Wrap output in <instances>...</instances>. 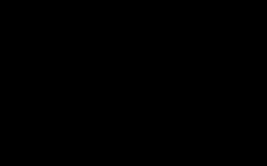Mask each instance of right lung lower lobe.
<instances>
[{
    "label": "right lung lower lobe",
    "instance_id": "obj_1",
    "mask_svg": "<svg viewBox=\"0 0 267 166\" xmlns=\"http://www.w3.org/2000/svg\"><path fill=\"white\" fill-rule=\"evenodd\" d=\"M42 59H44L42 62L37 63V69L35 70V73L37 76H41L40 79L41 80L42 77H51L52 79H54L52 77V75L54 76L55 73L57 72V69H59V63L58 60L56 58H53L51 56H47V55H42L41 56ZM45 58L48 60V62L45 63ZM42 73V74H41ZM93 76H91L92 78ZM96 76L94 77V79L96 80ZM49 83L51 82V84H53L55 87L59 86L58 83L59 82H55L54 80H47ZM58 81H61V85L65 88V89H74L75 85L71 84L69 81L65 80V79H60ZM80 86H83V84H81ZM56 109H54L53 111H55Z\"/></svg>",
    "mask_w": 267,
    "mask_h": 166
}]
</instances>
